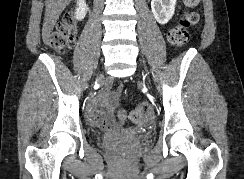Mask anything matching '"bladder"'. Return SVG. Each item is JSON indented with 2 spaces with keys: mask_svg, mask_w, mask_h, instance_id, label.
I'll list each match as a JSON object with an SVG mask.
<instances>
[{
  "mask_svg": "<svg viewBox=\"0 0 244 179\" xmlns=\"http://www.w3.org/2000/svg\"><path fill=\"white\" fill-rule=\"evenodd\" d=\"M139 140H140V141H143V140H144V137L139 138Z\"/></svg>",
  "mask_w": 244,
  "mask_h": 179,
  "instance_id": "bladder-1",
  "label": "bladder"
}]
</instances>
